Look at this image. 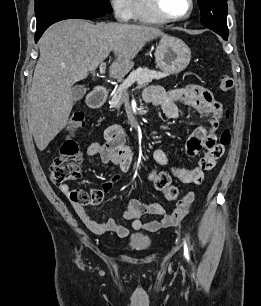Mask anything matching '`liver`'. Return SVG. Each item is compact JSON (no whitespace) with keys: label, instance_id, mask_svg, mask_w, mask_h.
Wrapping results in <instances>:
<instances>
[{"label":"liver","instance_id":"liver-1","mask_svg":"<svg viewBox=\"0 0 261 306\" xmlns=\"http://www.w3.org/2000/svg\"><path fill=\"white\" fill-rule=\"evenodd\" d=\"M165 34L146 25L68 19L52 25L39 41L40 57L29 93L28 126L40 151L66 125L73 107L74 83L85 79L114 54L109 73L122 79L143 46Z\"/></svg>","mask_w":261,"mask_h":306}]
</instances>
